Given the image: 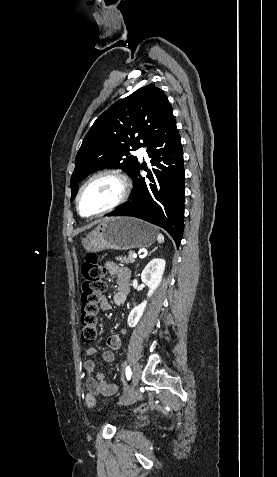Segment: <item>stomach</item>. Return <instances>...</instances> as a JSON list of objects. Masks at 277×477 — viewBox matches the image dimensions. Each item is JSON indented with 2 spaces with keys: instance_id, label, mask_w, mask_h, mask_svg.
<instances>
[{
  "instance_id": "1",
  "label": "stomach",
  "mask_w": 277,
  "mask_h": 477,
  "mask_svg": "<svg viewBox=\"0 0 277 477\" xmlns=\"http://www.w3.org/2000/svg\"><path fill=\"white\" fill-rule=\"evenodd\" d=\"M158 237L157 229L137 218H106L89 233L82 245L87 252L106 249L127 250L151 246Z\"/></svg>"
}]
</instances>
